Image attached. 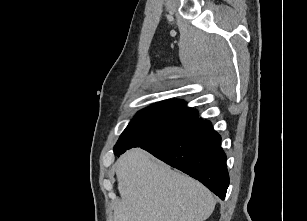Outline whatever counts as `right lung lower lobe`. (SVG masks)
<instances>
[{
    "label": "right lung lower lobe",
    "mask_w": 307,
    "mask_h": 221,
    "mask_svg": "<svg viewBox=\"0 0 307 221\" xmlns=\"http://www.w3.org/2000/svg\"><path fill=\"white\" fill-rule=\"evenodd\" d=\"M221 137L207 120L170 139L141 147L165 163L202 182L224 199L229 186Z\"/></svg>",
    "instance_id": "1"
}]
</instances>
